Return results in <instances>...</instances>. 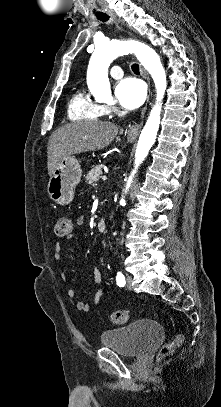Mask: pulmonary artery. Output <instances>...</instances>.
I'll use <instances>...</instances> for the list:
<instances>
[{
  "mask_svg": "<svg viewBox=\"0 0 221 407\" xmlns=\"http://www.w3.org/2000/svg\"><path fill=\"white\" fill-rule=\"evenodd\" d=\"M123 70L121 69V67L120 66H113L111 69H110V75L113 77V78H116V79H118V78H121L122 76H123Z\"/></svg>",
  "mask_w": 221,
  "mask_h": 407,
  "instance_id": "e3ab8cb5",
  "label": "pulmonary artery"
}]
</instances>
